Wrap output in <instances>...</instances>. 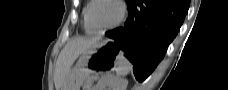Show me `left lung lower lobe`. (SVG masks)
<instances>
[{
	"label": "left lung lower lobe",
	"mask_w": 228,
	"mask_h": 90,
	"mask_svg": "<svg viewBox=\"0 0 228 90\" xmlns=\"http://www.w3.org/2000/svg\"><path fill=\"white\" fill-rule=\"evenodd\" d=\"M189 3L188 0H128L124 26L106 33L134 64L138 81H144L163 58L184 21Z\"/></svg>",
	"instance_id": "left-lung-lower-lobe-1"
}]
</instances>
